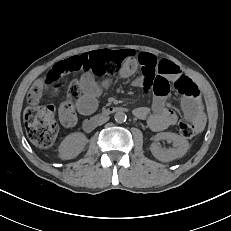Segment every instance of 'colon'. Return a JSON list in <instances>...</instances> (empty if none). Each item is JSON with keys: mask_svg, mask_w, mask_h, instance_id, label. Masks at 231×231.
<instances>
[{"mask_svg": "<svg viewBox=\"0 0 231 231\" xmlns=\"http://www.w3.org/2000/svg\"><path fill=\"white\" fill-rule=\"evenodd\" d=\"M62 83V77L45 75L44 78L35 82L28 92V107L24 112V124L29 139L40 148L51 146L58 131L55 108L51 104H42V97L45 94L51 95L54 89ZM170 85L182 96L196 98L199 95L196 84L184 74L174 79L171 83L157 78L155 80L156 94L166 96ZM178 130L183 137L188 139L193 138L198 133L197 127L186 121L179 122Z\"/></svg>", "mask_w": 231, "mask_h": 231, "instance_id": "obj_1", "label": "colon"}]
</instances>
